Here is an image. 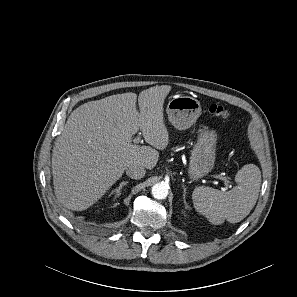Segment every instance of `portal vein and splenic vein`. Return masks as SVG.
<instances>
[{
  "mask_svg": "<svg viewBox=\"0 0 297 297\" xmlns=\"http://www.w3.org/2000/svg\"><path fill=\"white\" fill-rule=\"evenodd\" d=\"M140 140H141L140 136H137V137L133 140V142H134V144H138V143L140 142ZM211 177L216 178V179H220V180H223V181H224L226 187H224L223 190H226L227 187H228V185L231 183L227 178L222 177V176H220V175H211Z\"/></svg>",
  "mask_w": 297,
  "mask_h": 297,
  "instance_id": "18ae733b",
  "label": "portal vein and splenic vein"
}]
</instances>
